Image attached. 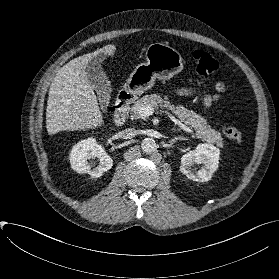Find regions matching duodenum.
<instances>
[{
    "mask_svg": "<svg viewBox=\"0 0 279 279\" xmlns=\"http://www.w3.org/2000/svg\"><path fill=\"white\" fill-rule=\"evenodd\" d=\"M133 100L134 96L130 92H120L116 101V111L114 115V120L116 123H122L125 121L129 106Z\"/></svg>",
    "mask_w": 279,
    "mask_h": 279,
    "instance_id": "410a0bca",
    "label": "duodenum"
}]
</instances>
